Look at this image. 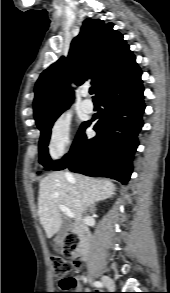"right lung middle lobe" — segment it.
Instances as JSON below:
<instances>
[{"label":"right lung middle lobe","instance_id":"obj_1","mask_svg":"<svg viewBox=\"0 0 170 293\" xmlns=\"http://www.w3.org/2000/svg\"><path fill=\"white\" fill-rule=\"evenodd\" d=\"M54 121L40 128L41 137L39 141V156H40L39 161L45 167L46 170H50L55 165V163L51 160L48 154V148H47V145L50 139L51 128Z\"/></svg>","mask_w":170,"mask_h":293}]
</instances>
